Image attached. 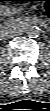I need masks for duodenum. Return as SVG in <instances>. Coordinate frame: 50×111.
<instances>
[{
    "label": "duodenum",
    "mask_w": 50,
    "mask_h": 111,
    "mask_svg": "<svg viewBox=\"0 0 50 111\" xmlns=\"http://www.w3.org/2000/svg\"><path fill=\"white\" fill-rule=\"evenodd\" d=\"M32 26H45V23L42 22V21H36V20H33V19H28L26 20L24 23H23V27H32Z\"/></svg>",
    "instance_id": "1"
}]
</instances>
